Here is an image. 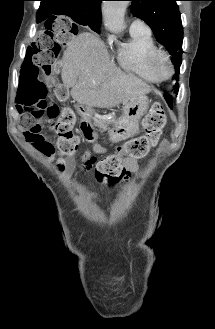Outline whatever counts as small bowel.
Listing matches in <instances>:
<instances>
[{
    "mask_svg": "<svg viewBox=\"0 0 215 329\" xmlns=\"http://www.w3.org/2000/svg\"><path fill=\"white\" fill-rule=\"evenodd\" d=\"M21 125H25V126H27V127L30 128L33 125V120L30 119V118L21 119ZM25 134H26L27 140L30 143V145H32L36 150H38L40 153H42L43 155H45L48 158L52 156V154L54 153V148H53V151L51 153H43L36 146L37 137L35 136V134L34 133H30V132H28L26 130H25ZM40 136H41V138L49 141L52 144L51 139L47 135H45L42 131L40 133ZM52 146H53V144H52ZM94 149L96 151H101L102 150V148L100 146H98V145H96L94 147ZM88 156H89V152H86L85 157H88ZM125 166H126V168L128 170V176H130L131 174L135 173L137 171V168H138L137 167V163L134 160H132V159H126L125 160Z\"/></svg>",
    "mask_w": 215,
    "mask_h": 329,
    "instance_id": "c3829d8e",
    "label": "small bowel"
}]
</instances>
